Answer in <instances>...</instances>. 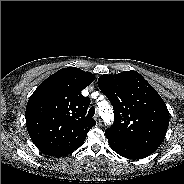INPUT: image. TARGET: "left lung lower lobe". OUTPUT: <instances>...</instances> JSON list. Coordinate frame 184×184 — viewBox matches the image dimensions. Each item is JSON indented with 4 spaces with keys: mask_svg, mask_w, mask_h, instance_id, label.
<instances>
[{
    "mask_svg": "<svg viewBox=\"0 0 184 184\" xmlns=\"http://www.w3.org/2000/svg\"><path fill=\"white\" fill-rule=\"evenodd\" d=\"M106 137L110 147L122 157L128 159H142L152 154L144 149L122 142L111 135L106 134Z\"/></svg>",
    "mask_w": 184,
    "mask_h": 184,
    "instance_id": "1",
    "label": "left lung lower lobe"
}]
</instances>
